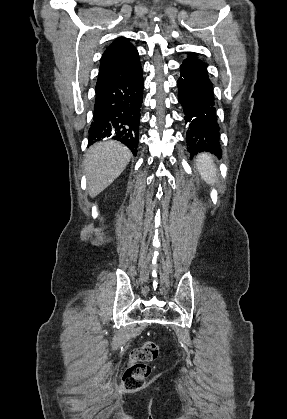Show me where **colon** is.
I'll return each mask as SVG.
<instances>
[{
  "mask_svg": "<svg viewBox=\"0 0 287 419\" xmlns=\"http://www.w3.org/2000/svg\"><path fill=\"white\" fill-rule=\"evenodd\" d=\"M158 346L153 342H145L130 353L129 365L123 376V386L134 391L142 388L150 373L148 363L156 359Z\"/></svg>",
  "mask_w": 287,
  "mask_h": 419,
  "instance_id": "5ec220e1",
  "label": "colon"
}]
</instances>
